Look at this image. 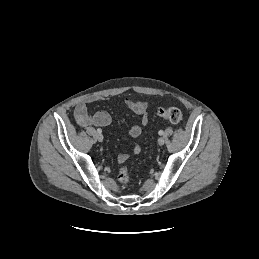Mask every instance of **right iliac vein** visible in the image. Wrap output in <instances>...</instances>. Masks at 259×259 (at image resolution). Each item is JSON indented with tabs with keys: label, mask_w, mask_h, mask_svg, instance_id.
Masks as SVG:
<instances>
[{
	"label": "right iliac vein",
	"mask_w": 259,
	"mask_h": 259,
	"mask_svg": "<svg viewBox=\"0 0 259 259\" xmlns=\"http://www.w3.org/2000/svg\"><path fill=\"white\" fill-rule=\"evenodd\" d=\"M97 140L99 142H102L103 141V135L101 133L97 134Z\"/></svg>",
	"instance_id": "63e3f726"
}]
</instances>
